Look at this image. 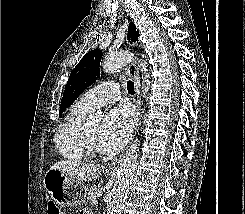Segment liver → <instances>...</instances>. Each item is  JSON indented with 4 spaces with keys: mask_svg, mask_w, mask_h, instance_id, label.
I'll return each mask as SVG.
<instances>
[{
    "mask_svg": "<svg viewBox=\"0 0 245 214\" xmlns=\"http://www.w3.org/2000/svg\"><path fill=\"white\" fill-rule=\"evenodd\" d=\"M50 169H56L77 181H92L101 173V169L97 166L79 165L73 161L56 162Z\"/></svg>",
    "mask_w": 245,
    "mask_h": 214,
    "instance_id": "1",
    "label": "liver"
}]
</instances>
